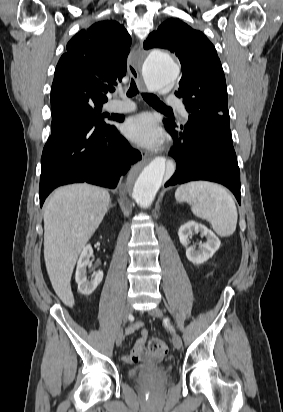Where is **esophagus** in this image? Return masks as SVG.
Here are the masks:
<instances>
[{"instance_id": "1", "label": "esophagus", "mask_w": 283, "mask_h": 412, "mask_svg": "<svg viewBox=\"0 0 283 412\" xmlns=\"http://www.w3.org/2000/svg\"><path fill=\"white\" fill-rule=\"evenodd\" d=\"M137 47H138V45L135 46V48L133 49V52L135 51V49ZM141 64H142V61L140 59L132 57V56L129 57V59H128V72H129L130 76L137 81L139 89L141 91L146 92V87H145L144 82L142 80V77L140 75Z\"/></svg>"}]
</instances>
